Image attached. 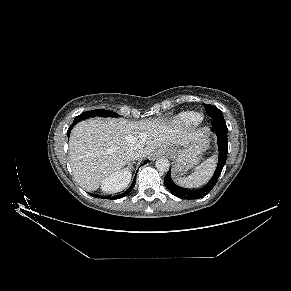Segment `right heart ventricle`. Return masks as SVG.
Listing matches in <instances>:
<instances>
[{
  "label": "right heart ventricle",
  "mask_w": 291,
  "mask_h": 291,
  "mask_svg": "<svg viewBox=\"0 0 291 291\" xmlns=\"http://www.w3.org/2000/svg\"><path fill=\"white\" fill-rule=\"evenodd\" d=\"M202 120V115L197 112H184L179 114L175 122L177 124L186 126V127H191L199 124Z\"/></svg>",
  "instance_id": "1"
}]
</instances>
